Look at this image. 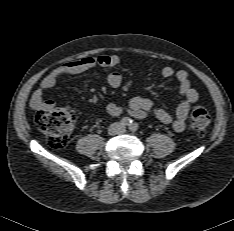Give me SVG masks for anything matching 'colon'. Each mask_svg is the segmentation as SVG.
<instances>
[{
    "label": "colon",
    "mask_w": 234,
    "mask_h": 231,
    "mask_svg": "<svg viewBox=\"0 0 234 231\" xmlns=\"http://www.w3.org/2000/svg\"><path fill=\"white\" fill-rule=\"evenodd\" d=\"M74 121V112L68 108L40 110L35 124L47 137L48 143L55 149L65 148L69 143V134ZM211 122V116L204 107H196L191 112V126L204 131Z\"/></svg>",
    "instance_id": "5ec220e1"
}]
</instances>
